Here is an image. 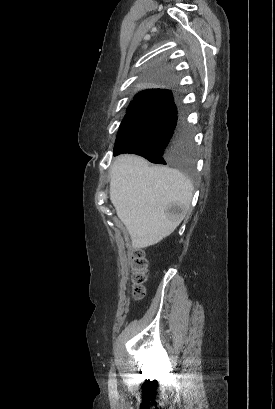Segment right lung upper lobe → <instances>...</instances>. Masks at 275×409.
I'll list each match as a JSON object with an SVG mask.
<instances>
[{"label": "right lung upper lobe", "mask_w": 275, "mask_h": 409, "mask_svg": "<svg viewBox=\"0 0 275 409\" xmlns=\"http://www.w3.org/2000/svg\"><path fill=\"white\" fill-rule=\"evenodd\" d=\"M160 89H150V90H145V91H142V92H150V91H159Z\"/></svg>", "instance_id": "obj_1"}]
</instances>
